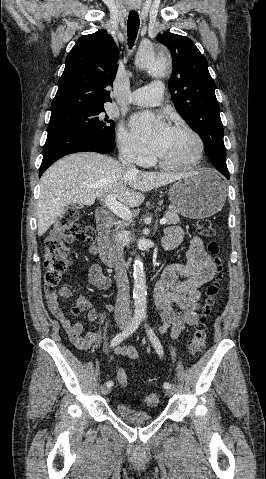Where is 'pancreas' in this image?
<instances>
[{"label": "pancreas", "mask_w": 266, "mask_h": 479, "mask_svg": "<svg viewBox=\"0 0 266 479\" xmlns=\"http://www.w3.org/2000/svg\"><path fill=\"white\" fill-rule=\"evenodd\" d=\"M165 218H167V224H178V223H180V218H179V216L177 215L176 211L173 210V209L168 210V211L165 213ZM120 226H121V227H127L128 224L121 222V223H120Z\"/></svg>", "instance_id": "1"}]
</instances>
